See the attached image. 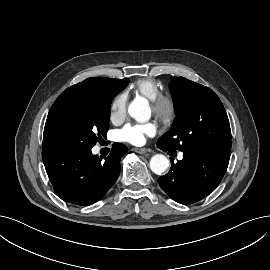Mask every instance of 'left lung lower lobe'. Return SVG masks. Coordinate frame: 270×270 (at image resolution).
Here are the masks:
<instances>
[{
  "label": "left lung lower lobe",
  "mask_w": 270,
  "mask_h": 270,
  "mask_svg": "<svg viewBox=\"0 0 270 270\" xmlns=\"http://www.w3.org/2000/svg\"><path fill=\"white\" fill-rule=\"evenodd\" d=\"M160 149L169 150L157 145ZM231 155L222 148H193L183 151V159L172 164L170 171L159 177L161 188L174 201L192 204L213 192L221 182Z\"/></svg>",
  "instance_id": "left-lung-lower-lobe-1"
}]
</instances>
